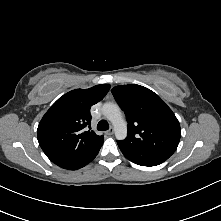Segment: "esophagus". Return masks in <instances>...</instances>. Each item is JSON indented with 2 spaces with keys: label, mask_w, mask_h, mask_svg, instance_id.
<instances>
[{
  "label": "esophagus",
  "mask_w": 221,
  "mask_h": 221,
  "mask_svg": "<svg viewBox=\"0 0 221 221\" xmlns=\"http://www.w3.org/2000/svg\"><path fill=\"white\" fill-rule=\"evenodd\" d=\"M113 133H114V129L113 128H110L108 131H106L107 135H113Z\"/></svg>",
  "instance_id": "obj_1"
}]
</instances>
